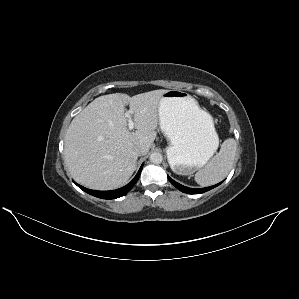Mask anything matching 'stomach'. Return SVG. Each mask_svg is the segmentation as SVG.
Segmentation results:
<instances>
[{"instance_id": "obj_1", "label": "stomach", "mask_w": 299, "mask_h": 299, "mask_svg": "<svg viewBox=\"0 0 299 299\" xmlns=\"http://www.w3.org/2000/svg\"><path fill=\"white\" fill-rule=\"evenodd\" d=\"M159 126L169 141L167 158L176 174L194 173L218 148L219 138L212 117L183 91L167 90L162 95Z\"/></svg>"}]
</instances>
